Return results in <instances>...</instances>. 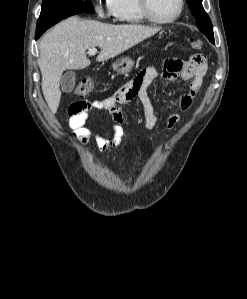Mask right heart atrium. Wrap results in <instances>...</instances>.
<instances>
[{"mask_svg":"<svg viewBox=\"0 0 247 299\" xmlns=\"http://www.w3.org/2000/svg\"><path fill=\"white\" fill-rule=\"evenodd\" d=\"M111 0H93L95 13L99 18H106L111 15Z\"/></svg>","mask_w":247,"mask_h":299,"instance_id":"obj_1","label":"right heart atrium"}]
</instances>
